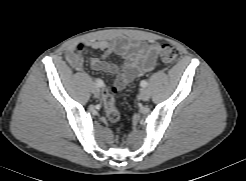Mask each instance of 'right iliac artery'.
<instances>
[{
	"label": "right iliac artery",
	"instance_id": "82829eb1",
	"mask_svg": "<svg viewBox=\"0 0 246 181\" xmlns=\"http://www.w3.org/2000/svg\"><path fill=\"white\" fill-rule=\"evenodd\" d=\"M96 85H97L98 87H103L104 83H103L102 80L97 79V80H96Z\"/></svg>",
	"mask_w": 246,
	"mask_h": 181
}]
</instances>
